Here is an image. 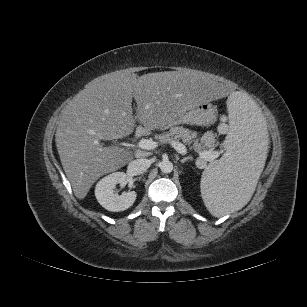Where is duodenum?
<instances>
[{
    "instance_id": "duodenum-1",
    "label": "duodenum",
    "mask_w": 307,
    "mask_h": 307,
    "mask_svg": "<svg viewBox=\"0 0 307 307\" xmlns=\"http://www.w3.org/2000/svg\"><path fill=\"white\" fill-rule=\"evenodd\" d=\"M144 133H145L144 129H138L137 132H136V135L138 137H140V136L144 135Z\"/></svg>"
}]
</instances>
